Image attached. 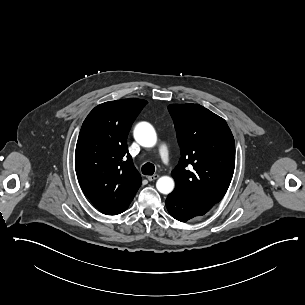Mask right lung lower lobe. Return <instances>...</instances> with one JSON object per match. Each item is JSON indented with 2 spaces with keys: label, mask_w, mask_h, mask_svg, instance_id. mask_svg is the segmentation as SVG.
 <instances>
[{
  "label": "right lung lower lobe",
  "mask_w": 305,
  "mask_h": 305,
  "mask_svg": "<svg viewBox=\"0 0 305 305\" xmlns=\"http://www.w3.org/2000/svg\"><path fill=\"white\" fill-rule=\"evenodd\" d=\"M128 206H129V205H128ZM128 206H127V207H128ZM127 207H125L124 209L120 210L119 212H117L116 214H113V215H117V214H120V213L124 212V211L127 209Z\"/></svg>",
  "instance_id": "right-lung-lower-lobe-1"
}]
</instances>
